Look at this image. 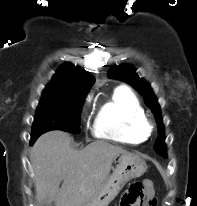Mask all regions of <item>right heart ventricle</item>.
<instances>
[{"instance_id": "obj_1", "label": "right heart ventricle", "mask_w": 197, "mask_h": 206, "mask_svg": "<svg viewBox=\"0 0 197 206\" xmlns=\"http://www.w3.org/2000/svg\"><path fill=\"white\" fill-rule=\"evenodd\" d=\"M146 114L137 96L125 87L114 90L95 118L94 135L97 138L127 144H138L146 140Z\"/></svg>"}]
</instances>
